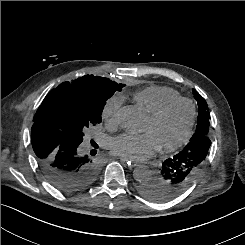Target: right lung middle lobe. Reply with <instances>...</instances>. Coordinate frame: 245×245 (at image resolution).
I'll return each instance as SVG.
<instances>
[{"label": "right lung middle lobe", "mask_w": 245, "mask_h": 245, "mask_svg": "<svg viewBox=\"0 0 245 245\" xmlns=\"http://www.w3.org/2000/svg\"><path fill=\"white\" fill-rule=\"evenodd\" d=\"M124 86L99 76L85 88L66 84L59 96L45 106L43 121L65 138L81 143L85 129L101 122L106 101Z\"/></svg>", "instance_id": "1"}]
</instances>
